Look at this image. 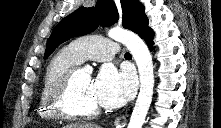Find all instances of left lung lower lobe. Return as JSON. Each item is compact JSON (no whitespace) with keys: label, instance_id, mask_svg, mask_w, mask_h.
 <instances>
[{"label":"left lung lower lobe","instance_id":"left-lung-lower-lobe-1","mask_svg":"<svg viewBox=\"0 0 221 128\" xmlns=\"http://www.w3.org/2000/svg\"><path fill=\"white\" fill-rule=\"evenodd\" d=\"M153 36H154V33L151 29V30H149V32L144 37H142L146 41L149 48L152 49V50L154 49V47H152V45H153Z\"/></svg>","mask_w":221,"mask_h":128}]
</instances>
